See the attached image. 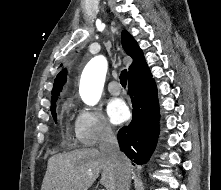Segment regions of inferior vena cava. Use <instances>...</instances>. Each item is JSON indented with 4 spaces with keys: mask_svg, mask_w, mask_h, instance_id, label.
Returning a JSON list of instances; mask_svg holds the SVG:
<instances>
[{
    "mask_svg": "<svg viewBox=\"0 0 221 190\" xmlns=\"http://www.w3.org/2000/svg\"><path fill=\"white\" fill-rule=\"evenodd\" d=\"M100 152L114 164L118 172L116 190H129L130 187V163L121 153L116 136L112 129L105 126L101 132L99 142Z\"/></svg>",
    "mask_w": 221,
    "mask_h": 190,
    "instance_id": "inferior-vena-cava-1",
    "label": "inferior vena cava"
}]
</instances>
